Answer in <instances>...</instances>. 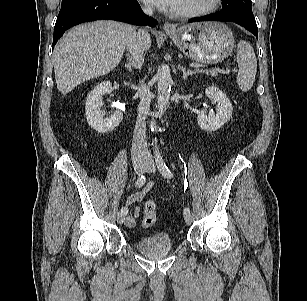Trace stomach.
Segmentation results:
<instances>
[{"label":"stomach","mask_w":307,"mask_h":301,"mask_svg":"<svg viewBox=\"0 0 307 301\" xmlns=\"http://www.w3.org/2000/svg\"><path fill=\"white\" fill-rule=\"evenodd\" d=\"M175 45L190 59L201 63H218L234 48L232 30L221 22L188 24L168 31Z\"/></svg>","instance_id":"0dacf381"}]
</instances>
